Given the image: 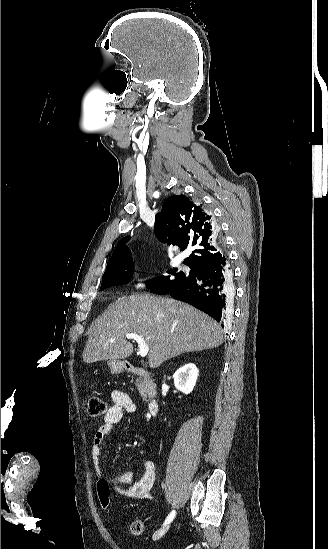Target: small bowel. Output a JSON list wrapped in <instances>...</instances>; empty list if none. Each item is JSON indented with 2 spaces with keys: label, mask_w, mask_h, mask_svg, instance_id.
Segmentation results:
<instances>
[{
  "label": "small bowel",
  "mask_w": 328,
  "mask_h": 549,
  "mask_svg": "<svg viewBox=\"0 0 328 549\" xmlns=\"http://www.w3.org/2000/svg\"><path fill=\"white\" fill-rule=\"evenodd\" d=\"M112 406L107 410L102 425L97 429L91 448V460L98 476L102 475L101 446L108 433L117 425L125 415L136 410L130 396L120 390H113L111 393ZM134 473L126 471L114 474L109 478L114 490L126 497L138 500H152L155 485V465L151 460L143 461V470L137 481H134Z\"/></svg>",
  "instance_id": "1"
}]
</instances>
